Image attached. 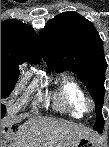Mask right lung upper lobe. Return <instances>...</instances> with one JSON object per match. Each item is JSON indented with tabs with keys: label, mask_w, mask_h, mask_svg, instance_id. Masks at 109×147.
Returning a JSON list of instances; mask_svg holds the SVG:
<instances>
[{
	"label": "right lung upper lobe",
	"mask_w": 109,
	"mask_h": 147,
	"mask_svg": "<svg viewBox=\"0 0 109 147\" xmlns=\"http://www.w3.org/2000/svg\"><path fill=\"white\" fill-rule=\"evenodd\" d=\"M41 53L36 33L21 21L1 22V66L17 67L25 61L39 63Z\"/></svg>",
	"instance_id": "right-lung-upper-lobe-1"
}]
</instances>
